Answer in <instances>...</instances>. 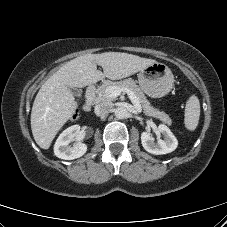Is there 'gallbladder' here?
Listing matches in <instances>:
<instances>
[{"label":"gallbladder","instance_id":"gallbladder-1","mask_svg":"<svg viewBox=\"0 0 227 227\" xmlns=\"http://www.w3.org/2000/svg\"><path fill=\"white\" fill-rule=\"evenodd\" d=\"M72 91H73V93L75 94V95H80L81 94V92H80V90H78V89H72Z\"/></svg>","mask_w":227,"mask_h":227}]
</instances>
